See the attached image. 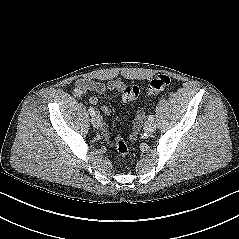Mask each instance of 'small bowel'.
I'll return each mask as SVG.
<instances>
[{
  "label": "small bowel",
  "mask_w": 239,
  "mask_h": 239,
  "mask_svg": "<svg viewBox=\"0 0 239 239\" xmlns=\"http://www.w3.org/2000/svg\"><path fill=\"white\" fill-rule=\"evenodd\" d=\"M124 87V84L119 80H112L108 83H102L98 81H93L91 79L82 78L75 82L73 94L76 97H81L87 92H95L98 94H107L108 92H117L120 93ZM90 104L96 105L98 103V99L96 97H91L89 100ZM101 112L103 117L106 118L110 115L111 110L108 106L104 105L101 107ZM102 118V117H101ZM142 114L136 119L135 130L131 135V139L135 140L137 136V128L139 123L141 122ZM102 136L105 140H108V132L105 127L102 129Z\"/></svg>",
  "instance_id": "small-bowel-1"
}]
</instances>
